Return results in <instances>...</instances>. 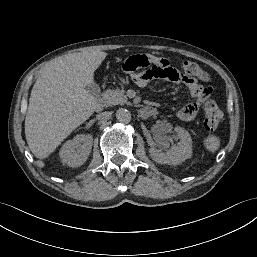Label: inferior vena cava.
<instances>
[{
    "label": "inferior vena cava",
    "instance_id": "inferior-vena-cava-1",
    "mask_svg": "<svg viewBox=\"0 0 257 257\" xmlns=\"http://www.w3.org/2000/svg\"><path fill=\"white\" fill-rule=\"evenodd\" d=\"M111 116V112L105 111V112H101L97 115V119L98 120H104V119H108Z\"/></svg>",
    "mask_w": 257,
    "mask_h": 257
}]
</instances>
